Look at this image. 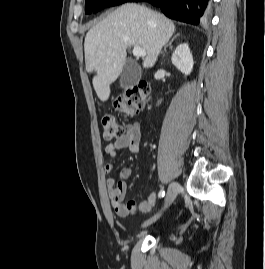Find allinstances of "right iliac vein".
Segmentation results:
<instances>
[{"label": "right iliac vein", "instance_id": "right-iliac-vein-1", "mask_svg": "<svg viewBox=\"0 0 265 269\" xmlns=\"http://www.w3.org/2000/svg\"><path fill=\"white\" fill-rule=\"evenodd\" d=\"M178 190H179V184L177 182H172L170 184V187H169L166 199H165V203H164L161 211L159 213H157L155 216H153L151 219L146 221L144 223V226H148L149 224H151V223L155 222L157 219H159L162 212L165 211L171 205V203L175 200L177 193H178Z\"/></svg>", "mask_w": 265, "mask_h": 269}]
</instances>
